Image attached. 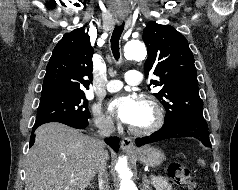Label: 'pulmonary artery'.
I'll return each mask as SVG.
<instances>
[{"label": "pulmonary artery", "mask_w": 238, "mask_h": 190, "mask_svg": "<svg viewBox=\"0 0 238 190\" xmlns=\"http://www.w3.org/2000/svg\"><path fill=\"white\" fill-rule=\"evenodd\" d=\"M125 81L129 85H139L142 81V75L137 70H129L125 74ZM123 83L120 80H111L107 83L106 89L109 92H116L120 90Z\"/></svg>", "instance_id": "pulmonary-artery-1"}]
</instances>
